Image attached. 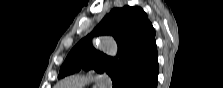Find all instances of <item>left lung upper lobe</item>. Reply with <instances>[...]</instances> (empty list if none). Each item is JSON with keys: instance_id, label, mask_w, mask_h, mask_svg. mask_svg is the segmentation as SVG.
Returning a JSON list of instances; mask_svg holds the SVG:
<instances>
[{"instance_id": "obj_1", "label": "left lung upper lobe", "mask_w": 223, "mask_h": 88, "mask_svg": "<svg viewBox=\"0 0 223 88\" xmlns=\"http://www.w3.org/2000/svg\"><path fill=\"white\" fill-rule=\"evenodd\" d=\"M111 35L118 44L115 58L96 51L90 43L93 36ZM157 58L155 30L140 7L112 9L92 34L82 39L68 54L59 77L80 69L107 73L113 88H120L131 77L139 75Z\"/></svg>"}]
</instances>
